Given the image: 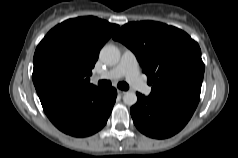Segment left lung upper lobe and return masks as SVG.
I'll return each instance as SVG.
<instances>
[{"label":"left lung upper lobe","mask_w":238,"mask_h":158,"mask_svg":"<svg viewBox=\"0 0 238 158\" xmlns=\"http://www.w3.org/2000/svg\"><path fill=\"white\" fill-rule=\"evenodd\" d=\"M136 55L152 85L151 94L201 89V50L184 31L154 21L125 24L113 36Z\"/></svg>","instance_id":"left-lung-upper-lobe-1"}]
</instances>
